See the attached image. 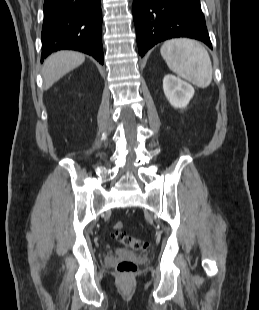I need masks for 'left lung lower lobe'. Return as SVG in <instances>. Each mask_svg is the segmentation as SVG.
Segmentation results:
<instances>
[{"label": "left lung lower lobe", "instance_id": "left-lung-lower-lobe-1", "mask_svg": "<svg viewBox=\"0 0 259 310\" xmlns=\"http://www.w3.org/2000/svg\"><path fill=\"white\" fill-rule=\"evenodd\" d=\"M133 18L141 57L155 44L176 37L212 48L200 0H133Z\"/></svg>", "mask_w": 259, "mask_h": 310}]
</instances>
